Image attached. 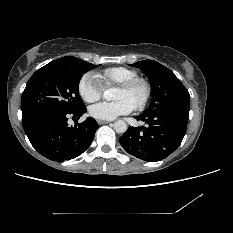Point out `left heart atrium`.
I'll list each match as a JSON object with an SVG mask.
<instances>
[{
  "instance_id": "left-heart-atrium-1",
  "label": "left heart atrium",
  "mask_w": 233,
  "mask_h": 233,
  "mask_svg": "<svg viewBox=\"0 0 233 233\" xmlns=\"http://www.w3.org/2000/svg\"><path fill=\"white\" fill-rule=\"evenodd\" d=\"M135 106L127 99H119L114 102H99L89 109L90 114L99 120H113L118 116L133 111Z\"/></svg>"
}]
</instances>
